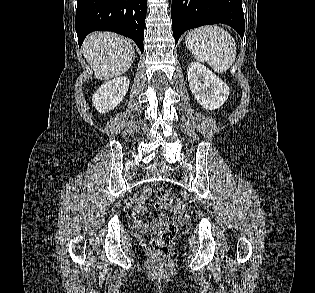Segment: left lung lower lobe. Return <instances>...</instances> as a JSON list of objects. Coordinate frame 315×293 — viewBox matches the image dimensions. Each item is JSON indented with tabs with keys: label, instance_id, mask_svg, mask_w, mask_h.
<instances>
[{
	"label": "left lung lower lobe",
	"instance_id": "obj_1",
	"mask_svg": "<svg viewBox=\"0 0 315 293\" xmlns=\"http://www.w3.org/2000/svg\"><path fill=\"white\" fill-rule=\"evenodd\" d=\"M172 29L175 42L188 29L224 23L243 39L244 14L242 0H172Z\"/></svg>",
	"mask_w": 315,
	"mask_h": 293
}]
</instances>
